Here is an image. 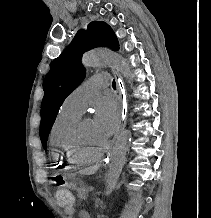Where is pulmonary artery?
Here are the masks:
<instances>
[{
  "label": "pulmonary artery",
  "instance_id": "e3ab8cb5",
  "mask_svg": "<svg viewBox=\"0 0 211 218\" xmlns=\"http://www.w3.org/2000/svg\"><path fill=\"white\" fill-rule=\"evenodd\" d=\"M91 79L101 80H85L84 85L74 89L64 100L63 105L67 108L82 114L86 108L88 97L94 91H104V87L111 85L110 74H99L92 76Z\"/></svg>",
  "mask_w": 211,
  "mask_h": 218
}]
</instances>
